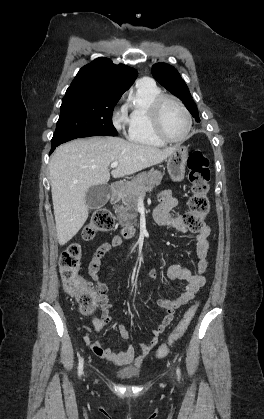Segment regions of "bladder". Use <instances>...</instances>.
<instances>
[{"instance_id":"31cf9c89","label":"bladder","mask_w":264,"mask_h":419,"mask_svg":"<svg viewBox=\"0 0 264 419\" xmlns=\"http://www.w3.org/2000/svg\"><path fill=\"white\" fill-rule=\"evenodd\" d=\"M115 375L122 380H134L137 379L140 375V371L138 369H123L119 370L115 373Z\"/></svg>"}]
</instances>
